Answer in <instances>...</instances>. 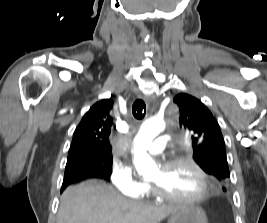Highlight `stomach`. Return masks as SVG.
I'll return each mask as SVG.
<instances>
[{"label": "stomach", "instance_id": "0dacf381", "mask_svg": "<svg viewBox=\"0 0 267 223\" xmlns=\"http://www.w3.org/2000/svg\"><path fill=\"white\" fill-rule=\"evenodd\" d=\"M168 223H208L205 211L191 204L177 206L176 212L169 216Z\"/></svg>", "mask_w": 267, "mask_h": 223}]
</instances>
